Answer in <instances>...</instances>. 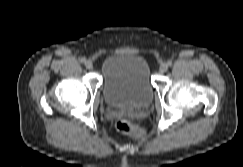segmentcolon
<instances>
[{
    "label": "colon",
    "mask_w": 243,
    "mask_h": 167,
    "mask_svg": "<svg viewBox=\"0 0 243 167\" xmlns=\"http://www.w3.org/2000/svg\"><path fill=\"white\" fill-rule=\"evenodd\" d=\"M116 128L119 132L129 134L135 137H141L143 135V130L126 118L118 120L116 123Z\"/></svg>",
    "instance_id": "obj_1"
}]
</instances>
